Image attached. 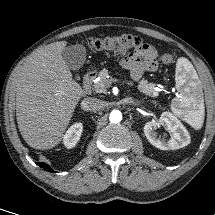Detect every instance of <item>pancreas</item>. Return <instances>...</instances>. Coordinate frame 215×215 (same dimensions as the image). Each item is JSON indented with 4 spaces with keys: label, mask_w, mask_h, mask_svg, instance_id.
Segmentation results:
<instances>
[{
    "label": "pancreas",
    "mask_w": 215,
    "mask_h": 215,
    "mask_svg": "<svg viewBox=\"0 0 215 215\" xmlns=\"http://www.w3.org/2000/svg\"><path fill=\"white\" fill-rule=\"evenodd\" d=\"M108 76L109 71L105 68L99 72V79L93 84L95 92L106 93L107 87L111 83V80L108 78ZM138 89L149 96H154L156 94V91L154 90V84L148 83L147 80H142L138 85Z\"/></svg>",
    "instance_id": "1"
}]
</instances>
